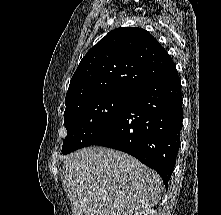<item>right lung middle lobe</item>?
I'll return each instance as SVG.
<instances>
[{
	"instance_id": "right-lung-middle-lobe-1",
	"label": "right lung middle lobe",
	"mask_w": 221,
	"mask_h": 215,
	"mask_svg": "<svg viewBox=\"0 0 221 215\" xmlns=\"http://www.w3.org/2000/svg\"><path fill=\"white\" fill-rule=\"evenodd\" d=\"M130 96L100 95L66 106L64 124L67 136L62 153L89 146L103 135L120 116Z\"/></svg>"
}]
</instances>
